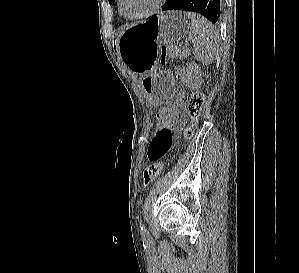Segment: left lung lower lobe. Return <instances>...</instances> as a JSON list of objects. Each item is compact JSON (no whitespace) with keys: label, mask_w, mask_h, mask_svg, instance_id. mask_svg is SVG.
Instances as JSON below:
<instances>
[{"label":"left lung lower lobe","mask_w":299,"mask_h":273,"mask_svg":"<svg viewBox=\"0 0 299 273\" xmlns=\"http://www.w3.org/2000/svg\"><path fill=\"white\" fill-rule=\"evenodd\" d=\"M221 0H168L163 10H184L198 12L217 23L220 17Z\"/></svg>","instance_id":"obj_1"}]
</instances>
